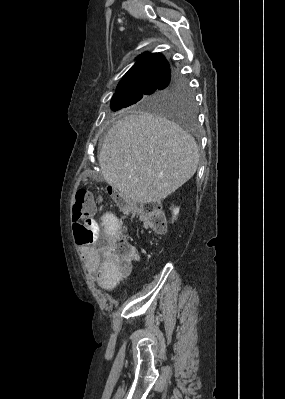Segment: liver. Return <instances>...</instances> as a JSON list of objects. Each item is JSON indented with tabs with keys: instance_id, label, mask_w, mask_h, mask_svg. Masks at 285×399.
Listing matches in <instances>:
<instances>
[{
	"instance_id": "1",
	"label": "liver",
	"mask_w": 285,
	"mask_h": 399,
	"mask_svg": "<svg viewBox=\"0 0 285 399\" xmlns=\"http://www.w3.org/2000/svg\"><path fill=\"white\" fill-rule=\"evenodd\" d=\"M98 161L105 181L129 202L165 199L196 172L194 138L164 117L131 114L116 121L104 138Z\"/></svg>"
}]
</instances>
